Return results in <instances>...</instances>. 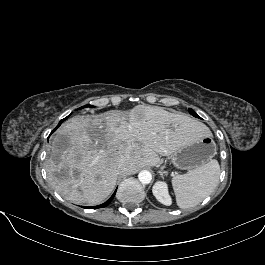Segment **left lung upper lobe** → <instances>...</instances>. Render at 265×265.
Segmentation results:
<instances>
[{
    "label": "left lung upper lobe",
    "mask_w": 265,
    "mask_h": 265,
    "mask_svg": "<svg viewBox=\"0 0 265 265\" xmlns=\"http://www.w3.org/2000/svg\"><path fill=\"white\" fill-rule=\"evenodd\" d=\"M189 113H190L191 115H193L194 117L200 118V117L195 113V111H193L192 109H189Z\"/></svg>",
    "instance_id": "left-lung-upper-lobe-1"
}]
</instances>
